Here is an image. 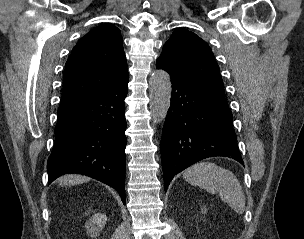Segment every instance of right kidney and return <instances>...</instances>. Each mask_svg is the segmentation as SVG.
Masks as SVG:
<instances>
[{"mask_svg":"<svg viewBox=\"0 0 304 239\" xmlns=\"http://www.w3.org/2000/svg\"><path fill=\"white\" fill-rule=\"evenodd\" d=\"M106 220V216L102 214H95L92 218H90L85 224L88 235H90L92 238L97 236L106 224Z\"/></svg>","mask_w":304,"mask_h":239,"instance_id":"ca27d5eb","label":"right kidney"}]
</instances>
